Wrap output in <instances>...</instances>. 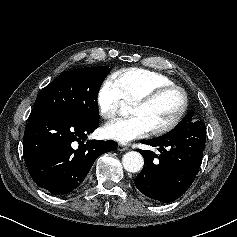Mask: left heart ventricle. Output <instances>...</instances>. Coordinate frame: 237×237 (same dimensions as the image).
Wrapping results in <instances>:
<instances>
[{
  "mask_svg": "<svg viewBox=\"0 0 237 237\" xmlns=\"http://www.w3.org/2000/svg\"><path fill=\"white\" fill-rule=\"evenodd\" d=\"M181 103V95L172 91L163 94L152 103L131 105L130 113L140 116L149 130H152L169 123L178 113Z\"/></svg>",
  "mask_w": 237,
  "mask_h": 237,
  "instance_id": "1",
  "label": "left heart ventricle"
}]
</instances>
